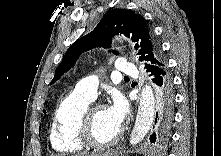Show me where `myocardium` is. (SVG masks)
Here are the masks:
<instances>
[{
	"instance_id": "obj_1",
	"label": "myocardium",
	"mask_w": 221,
	"mask_h": 156,
	"mask_svg": "<svg viewBox=\"0 0 221 156\" xmlns=\"http://www.w3.org/2000/svg\"><path fill=\"white\" fill-rule=\"evenodd\" d=\"M102 105L89 104L81 114L77 127V137L84 146L95 148H108L118 142L122 135V130L119 129L114 137L106 142L97 141L92 135V120L94 110Z\"/></svg>"
}]
</instances>
